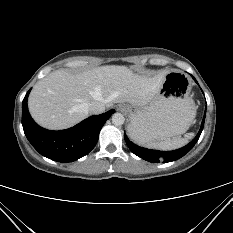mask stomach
<instances>
[{"label":"stomach","instance_id":"stomach-1","mask_svg":"<svg viewBox=\"0 0 233 233\" xmlns=\"http://www.w3.org/2000/svg\"><path fill=\"white\" fill-rule=\"evenodd\" d=\"M190 77L179 70L167 73L154 98L144 106L124 105L130 118L128 132L142 145L180 136L192 124L196 109Z\"/></svg>","mask_w":233,"mask_h":233}]
</instances>
